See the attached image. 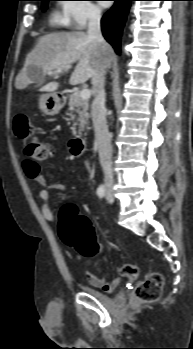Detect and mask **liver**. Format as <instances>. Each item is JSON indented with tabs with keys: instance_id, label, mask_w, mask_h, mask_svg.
<instances>
[{
	"instance_id": "obj_1",
	"label": "liver",
	"mask_w": 193,
	"mask_h": 349,
	"mask_svg": "<svg viewBox=\"0 0 193 349\" xmlns=\"http://www.w3.org/2000/svg\"><path fill=\"white\" fill-rule=\"evenodd\" d=\"M113 49L108 43L99 44L83 31L51 33L41 37L27 55L25 65L16 78V87L22 89L36 81L31 70L38 68L45 76L58 69L67 70L77 62L69 83L82 84L98 79L103 69L110 66ZM58 82H50L41 92H55Z\"/></svg>"
}]
</instances>
